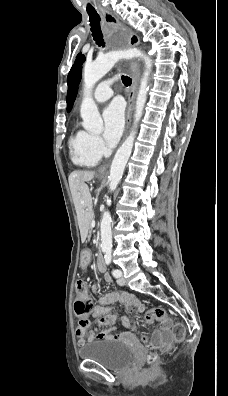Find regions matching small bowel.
Wrapping results in <instances>:
<instances>
[{
	"instance_id": "small-bowel-1",
	"label": "small bowel",
	"mask_w": 228,
	"mask_h": 396,
	"mask_svg": "<svg viewBox=\"0 0 228 396\" xmlns=\"http://www.w3.org/2000/svg\"><path fill=\"white\" fill-rule=\"evenodd\" d=\"M90 262V253L84 251L81 257V264L87 266ZM106 283H111L112 279L109 275L104 276ZM91 290L93 293H98V287L95 282L92 283ZM119 302L124 304L129 311H135L138 313L144 312V306L131 294L127 292L113 291L102 297H100V304L91 312L93 317H101L100 324L104 326V329L97 331L95 329L80 328L76 330L78 336V344L84 345L86 342H96L100 340L109 339H134L139 336L141 341L146 343L148 346L153 348H159L163 351H168L171 348V341L168 338L166 328L156 330L153 332L150 338L139 335L135 325L129 320L128 317L124 316L121 318V324L128 331L113 334L118 328L114 325L116 316L110 312L109 306L113 303Z\"/></svg>"
}]
</instances>
